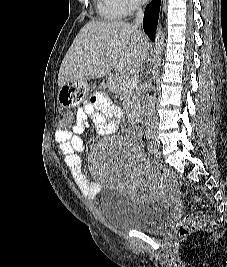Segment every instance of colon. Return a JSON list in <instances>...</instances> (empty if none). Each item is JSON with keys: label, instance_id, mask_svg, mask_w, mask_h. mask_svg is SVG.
<instances>
[{"label": "colon", "instance_id": "obj_1", "mask_svg": "<svg viewBox=\"0 0 227 267\" xmlns=\"http://www.w3.org/2000/svg\"><path fill=\"white\" fill-rule=\"evenodd\" d=\"M59 119H61L60 130H69V125H72V120L66 119H75V114H70V110H62V114H59ZM160 175L167 181H172V176L169 172L160 170ZM207 224V216L203 211L187 214L178 226V234L180 237L188 236L196 231L204 229Z\"/></svg>", "mask_w": 227, "mask_h": 267}]
</instances>
